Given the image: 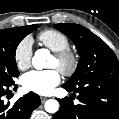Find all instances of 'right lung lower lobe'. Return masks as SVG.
<instances>
[{"label": "right lung lower lobe", "instance_id": "obj_1", "mask_svg": "<svg viewBox=\"0 0 119 119\" xmlns=\"http://www.w3.org/2000/svg\"><path fill=\"white\" fill-rule=\"evenodd\" d=\"M11 86L17 87L14 82L11 85L0 83V119H29L32 111L41 104L39 96L29 92L10 106L9 102L4 103L3 97L11 92Z\"/></svg>", "mask_w": 119, "mask_h": 119}]
</instances>
